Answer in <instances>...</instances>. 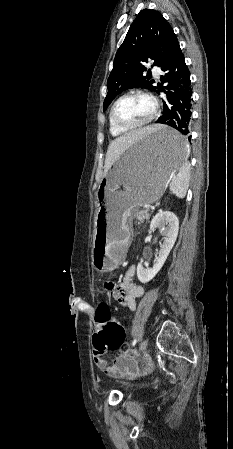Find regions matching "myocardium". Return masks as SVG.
I'll list each match as a JSON object with an SVG mask.
<instances>
[{
  "mask_svg": "<svg viewBox=\"0 0 233 449\" xmlns=\"http://www.w3.org/2000/svg\"><path fill=\"white\" fill-rule=\"evenodd\" d=\"M130 96H143L146 97L147 99L150 100L151 104H152V112L149 115V117L147 119H145L144 121L137 123V124H132V125H124L121 124L120 122H118L115 119V108L117 106V104L124 98L126 97H130ZM158 113V102L156 100V98L151 95L150 93L143 91V90H132L129 92H126L124 94H122L120 97H118L114 103L111 106L110 112H109V119L110 122L119 130L122 131H130V130H135V129H139L142 127H145L147 125H149L157 116Z\"/></svg>",
  "mask_w": 233,
  "mask_h": 449,
  "instance_id": "f54148a6",
  "label": "myocardium"
}]
</instances>
